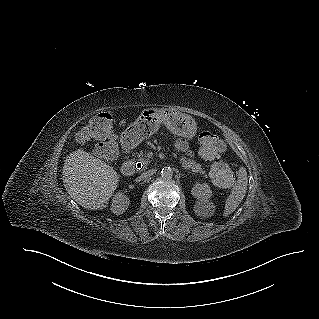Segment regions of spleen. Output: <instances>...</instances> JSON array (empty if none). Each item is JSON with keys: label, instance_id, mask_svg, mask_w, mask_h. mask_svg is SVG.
Here are the masks:
<instances>
[{"label": "spleen", "instance_id": "3e777b00", "mask_svg": "<svg viewBox=\"0 0 319 319\" xmlns=\"http://www.w3.org/2000/svg\"><path fill=\"white\" fill-rule=\"evenodd\" d=\"M247 185V171L244 167H241L238 171V179L235 183V186L225 202L223 213L224 217H228L230 214H232L235 211V209L239 206V204L242 202L247 191Z\"/></svg>", "mask_w": 319, "mask_h": 319}]
</instances>
